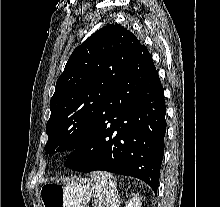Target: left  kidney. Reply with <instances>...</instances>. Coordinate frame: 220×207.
I'll return each instance as SVG.
<instances>
[{
  "label": "left kidney",
  "mask_w": 220,
  "mask_h": 207,
  "mask_svg": "<svg viewBox=\"0 0 220 207\" xmlns=\"http://www.w3.org/2000/svg\"><path fill=\"white\" fill-rule=\"evenodd\" d=\"M125 207H141V198L139 196H134L126 202Z\"/></svg>",
  "instance_id": "left-kidney-1"
}]
</instances>
